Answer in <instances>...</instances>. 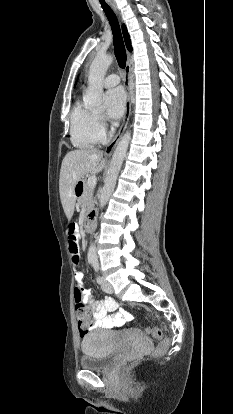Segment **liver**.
I'll return each mask as SVG.
<instances>
[{"instance_id":"obj_1","label":"liver","mask_w":233,"mask_h":414,"mask_svg":"<svg viewBox=\"0 0 233 414\" xmlns=\"http://www.w3.org/2000/svg\"><path fill=\"white\" fill-rule=\"evenodd\" d=\"M103 152L97 149H77L66 154L62 161L59 192L65 215L70 219L74 212V188L85 174L95 175L103 170Z\"/></svg>"}]
</instances>
